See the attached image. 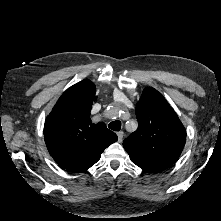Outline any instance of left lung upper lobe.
<instances>
[{"instance_id": "1", "label": "left lung upper lobe", "mask_w": 221, "mask_h": 221, "mask_svg": "<svg viewBox=\"0 0 221 221\" xmlns=\"http://www.w3.org/2000/svg\"><path fill=\"white\" fill-rule=\"evenodd\" d=\"M138 128L123 146L134 164L149 173L170 167L180 156L186 130L161 93L146 88L136 105Z\"/></svg>"}]
</instances>
